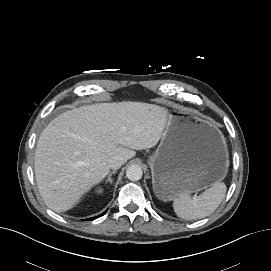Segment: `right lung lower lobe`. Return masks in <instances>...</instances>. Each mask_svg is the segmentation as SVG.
Here are the masks:
<instances>
[{"mask_svg":"<svg viewBox=\"0 0 271 271\" xmlns=\"http://www.w3.org/2000/svg\"><path fill=\"white\" fill-rule=\"evenodd\" d=\"M95 218H97V217H94V218H90V219H88V220H93V219H95Z\"/></svg>","mask_w":271,"mask_h":271,"instance_id":"right-lung-lower-lobe-1","label":"right lung lower lobe"}]
</instances>
